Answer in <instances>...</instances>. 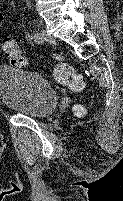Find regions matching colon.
Here are the masks:
<instances>
[{"label": "colon", "mask_w": 123, "mask_h": 201, "mask_svg": "<svg viewBox=\"0 0 123 201\" xmlns=\"http://www.w3.org/2000/svg\"><path fill=\"white\" fill-rule=\"evenodd\" d=\"M2 50L11 65L16 67L27 65V58L15 40L10 38L3 40ZM54 78L58 83L68 85L74 90H81L84 87L83 77L77 74L68 64H58L54 69ZM74 111L77 116H83L85 107L77 105L74 107Z\"/></svg>", "instance_id": "obj_1"}]
</instances>
